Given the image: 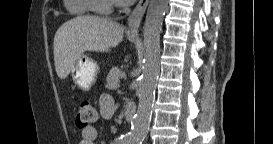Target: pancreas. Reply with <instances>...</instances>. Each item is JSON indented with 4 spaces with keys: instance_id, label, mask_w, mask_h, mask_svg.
I'll return each instance as SVG.
<instances>
[{
    "instance_id": "1",
    "label": "pancreas",
    "mask_w": 273,
    "mask_h": 144,
    "mask_svg": "<svg viewBox=\"0 0 273 144\" xmlns=\"http://www.w3.org/2000/svg\"><path fill=\"white\" fill-rule=\"evenodd\" d=\"M121 77V71L119 68L117 67H113L110 72L107 75L106 78V88L110 89V90H114L117 89V87L119 86V79Z\"/></svg>"
}]
</instances>
